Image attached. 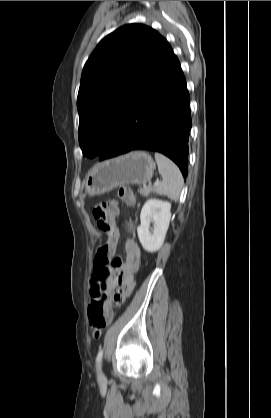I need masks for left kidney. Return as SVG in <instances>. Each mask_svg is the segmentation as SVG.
Instances as JSON below:
<instances>
[{
    "instance_id": "left-kidney-1",
    "label": "left kidney",
    "mask_w": 271,
    "mask_h": 418,
    "mask_svg": "<svg viewBox=\"0 0 271 418\" xmlns=\"http://www.w3.org/2000/svg\"><path fill=\"white\" fill-rule=\"evenodd\" d=\"M171 203L159 199H149L142 207L141 224L137 228L138 238L142 247L150 252L158 251L165 240L171 218ZM153 223V231L149 230Z\"/></svg>"
}]
</instances>
